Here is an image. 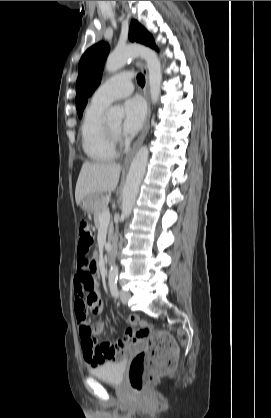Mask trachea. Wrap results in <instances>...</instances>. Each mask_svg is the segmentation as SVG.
Returning <instances> with one entry per match:
<instances>
[{
  "label": "trachea",
  "instance_id": "trachea-1",
  "mask_svg": "<svg viewBox=\"0 0 271 418\" xmlns=\"http://www.w3.org/2000/svg\"><path fill=\"white\" fill-rule=\"evenodd\" d=\"M137 82H138L139 85L144 86V84H145V78H144V76L141 75V74H138V76H137Z\"/></svg>",
  "mask_w": 271,
  "mask_h": 418
}]
</instances>
